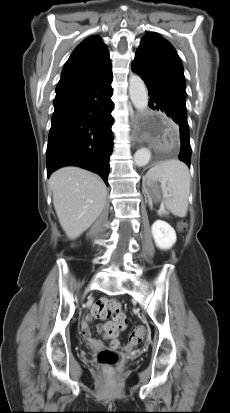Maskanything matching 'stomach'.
<instances>
[{
	"mask_svg": "<svg viewBox=\"0 0 230 413\" xmlns=\"http://www.w3.org/2000/svg\"><path fill=\"white\" fill-rule=\"evenodd\" d=\"M143 192L150 201H153L155 203H158L160 201L163 202L165 200L161 185L158 181L148 180L147 178H144Z\"/></svg>",
	"mask_w": 230,
	"mask_h": 413,
	"instance_id": "0dacf381",
	"label": "stomach"
}]
</instances>
